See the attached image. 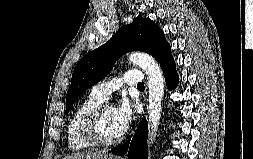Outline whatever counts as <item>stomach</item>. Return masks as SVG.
<instances>
[{"mask_svg":"<svg viewBox=\"0 0 253 159\" xmlns=\"http://www.w3.org/2000/svg\"><path fill=\"white\" fill-rule=\"evenodd\" d=\"M102 159H118V158H116V157H113V158L107 157V158H102Z\"/></svg>","mask_w":253,"mask_h":159,"instance_id":"obj_1","label":"stomach"}]
</instances>
